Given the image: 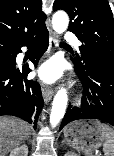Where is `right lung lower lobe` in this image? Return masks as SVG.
Instances as JSON below:
<instances>
[{"mask_svg":"<svg viewBox=\"0 0 114 156\" xmlns=\"http://www.w3.org/2000/svg\"><path fill=\"white\" fill-rule=\"evenodd\" d=\"M34 45L35 52L30 58L35 67L49 45V33L45 25L36 31L6 44L16 55L22 46ZM31 69L28 65L17 68L16 64L0 70V115L17 116L37 127L39 113L43 107V98L37 82L27 80Z\"/></svg>","mask_w":114,"mask_h":156,"instance_id":"98d812e1","label":"right lung lower lobe"}]
</instances>
